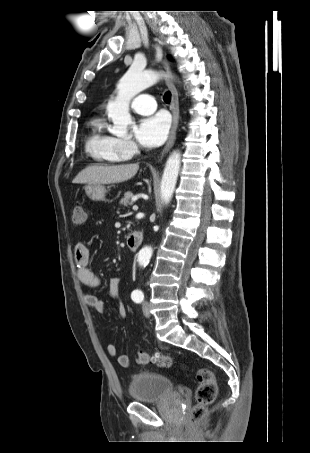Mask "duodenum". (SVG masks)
<instances>
[{
	"label": "duodenum",
	"instance_id": "410a0bca",
	"mask_svg": "<svg viewBox=\"0 0 310 453\" xmlns=\"http://www.w3.org/2000/svg\"><path fill=\"white\" fill-rule=\"evenodd\" d=\"M143 241V234L140 231H133L127 236V246L131 251H135Z\"/></svg>",
	"mask_w": 310,
	"mask_h": 453
}]
</instances>
